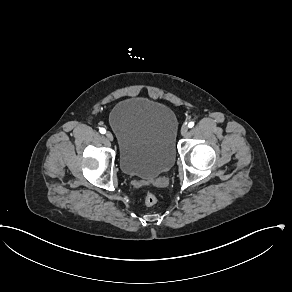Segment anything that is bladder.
Here are the masks:
<instances>
[{"instance_id": "31cf9c89", "label": "bladder", "mask_w": 292, "mask_h": 292, "mask_svg": "<svg viewBox=\"0 0 292 292\" xmlns=\"http://www.w3.org/2000/svg\"><path fill=\"white\" fill-rule=\"evenodd\" d=\"M109 124L125 174L150 179L173 166L178 120L167 105L144 97L125 98L112 109Z\"/></svg>"}]
</instances>
